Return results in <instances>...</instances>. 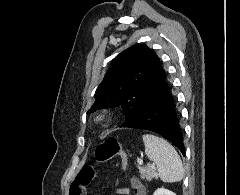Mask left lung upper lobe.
Segmentation results:
<instances>
[{
    "label": "left lung upper lobe",
    "instance_id": "left-lung-upper-lobe-1",
    "mask_svg": "<svg viewBox=\"0 0 240 195\" xmlns=\"http://www.w3.org/2000/svg\"><path fill=\"white\" fill-rule=\"evenodd\" d=\"M165 82L166 73L159 57L146 45H134L113 59L95 92L96 101L88 113L100 108L122 106L125 124Z\"/></svg>",
    "mask_w": 240,
    "mask_h": 195
}]
</instances>
